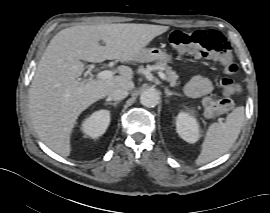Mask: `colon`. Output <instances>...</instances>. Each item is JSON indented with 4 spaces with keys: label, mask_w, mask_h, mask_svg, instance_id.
<instances>
[{
    "label": "colon",
    "mask_w": 270,
    "mask_h": 213,
    "mask_svg": "<svg viewBox=\"0 0 270 213\" xmlns=\"http://www.w3.org/2000/svg\"><path fill=\"white\" fill-rule=\"evenodd\" d=\"M169 42L182 55L214 59L222 65L223 70L229 75H233L237 71L229 43L216 30H197L191 33L175 31L171 34ZM220 86L224 94L223 97L208 96L203 99L204 108L211 115L227 112L232 106L230 98L241 90L240 85L231 78L222 79Z\"/></svg>",
    "instance_id": "colon-1"
}]
</instances>
